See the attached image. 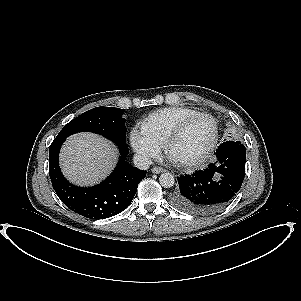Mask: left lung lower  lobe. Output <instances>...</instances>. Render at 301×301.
Returning a JSON list of instances; mask_svg holds the SVG:
<instances>
[{
	"label": "left lung lower lobe",
	"mask_w": 301,
	"mask_h": 301,
	"mask_svg": "<svg viewBox=\"0 0 301 301\" xmlns=\"http://www.w3.org/2000/svg\"><path fill=\"white\" fill-rule=\"evenodd\" d=\"M217 161L192 175L178 178L179 187L171 197L177 208L195 214L215 212L236 196L245 176L246 148L240 141L223 142Z\"/></svg>",
	"instance_id": "obj_1"
}]
</instances>
